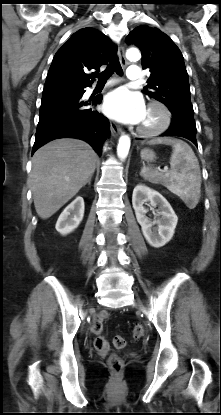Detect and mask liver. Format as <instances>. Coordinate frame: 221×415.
I'll use <instances>...</instances> for the list:
<instances>
[{
	"mask_svg": "<svg viewBox=\"0 0 221 415\" xmlns=\"http://www.w3.org/2000/svg\"><path fill=\"white\" fill-rule=\"evenodd\" d=\"M95 151L78 139L51 141L32 158L31 183L34 206L48 219L73 198L95 171Z\"/></svg>",
	"mask_w": 221,
	"mask_h": 415,
	"instance_id": "1",
	"label": "liver"
}]
</instances>
